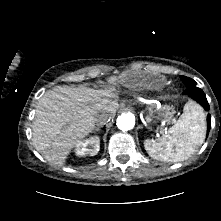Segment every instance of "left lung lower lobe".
Instances as JSON below:
<instances>
[{
    "instance_id": "obj_1",
    "label": "left lung lower lobe",
    "mask_w": 221,
    "mask_h": 221,
    "mask_svg": "<svg viewBox=\"0 0 221 221\" xmlns=\"http://www.w3.org/2000/svg\"><path fill=\"white\" fill-rule=\"evenodd\" d=\"M184 94L190 96L194 100H196L199 104L203 106L205 110H209L210 106L208 104L206 95L204 94L203 90L194 86V87H187V89L183 92ZM211 128V116L207 115V136L209 134Z\"/></svg>"
}]
</instances>
